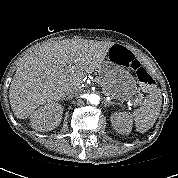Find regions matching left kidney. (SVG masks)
Masks as SVG:
<instances>
[{
    "mask_svg": "<svg viewBox=\"0 0 178 178\" xmlns=\"http://www.w3.org/2000/svg\"><path fill=\"white\" fill-rule=\"evenodd\" d=\"M111 123L113 128L119 134H128L132 129V120L130 116L124 112H116L111 115Z\"/></svg>",
    "mask_w": 178,
    "mask_h": 178,
    "instance_id": "1",
    "label": "left kidney"
}]
</instances>
